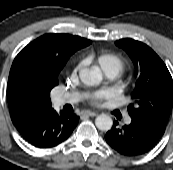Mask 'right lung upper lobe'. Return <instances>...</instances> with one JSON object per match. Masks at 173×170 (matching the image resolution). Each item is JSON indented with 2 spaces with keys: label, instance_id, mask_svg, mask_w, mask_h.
<instances>
[{
  "label": "right lung upper lobe",
  "instance_id": "1",
  "mask_svg": "<svg viewBox=\"0 0 173 170\" xmlns=\"http://www.w3.org/2000/svg\"><path fill=\"white\" fill-rule=\"evenodd\" d=\"M91 41L68 34H45L15 57L9 73L7 100L11 120L51 107L50 91L69 57Z\"/></svg>",
  "mask_w": 173,
  "mask_h": 170
}]
</instances>
